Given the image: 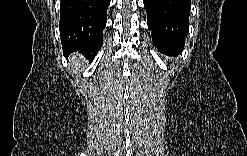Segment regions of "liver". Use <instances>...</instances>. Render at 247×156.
<instances>
[{
	"label": "liver",
	"instance_id": "obj_1",
	"mask_svg": "<svg viewBox=\"0 0 247 156\" xmlns=\"http://www.w3.org/2000/svg\"><path fill=\"white\" fill-rule=\"evenodd\" d=\"M81 60V56L80 55H75L71 57V62H77Z\"/></svg>",
	"mask_w": 247,
	"mask_h": 156
}]
</instances>
